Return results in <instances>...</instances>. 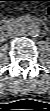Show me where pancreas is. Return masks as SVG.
Here are the masks:
<instances>
[{
	"mask_svg": "<svg viewBox=\"0 0 50 111\" xmlns=\"http://www.w3.org/2000/svg\"><path fill=\"white\" fill-rule=\"evenodd\" d=\"M16 24H17V21H14V22H13V26L16 25ZM7 25H8V23H6V24L4 25V27H7Z\"/></svg>",
	"mask_w": 50,
	"mask_h": 111,
	"instance_id": "1",
	"label": "pancreas"
}]
</instances>
